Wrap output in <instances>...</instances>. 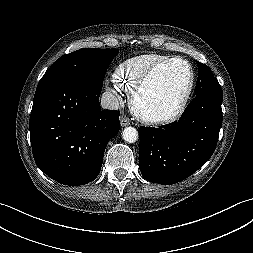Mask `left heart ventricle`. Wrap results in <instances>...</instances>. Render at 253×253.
<instances>
[{"label":"left heart ventricle","instance_id":"obj_1","mask_svg":"<svg viewBox=\"0 0 253 253\" xmlns=\"http://www.w3.org/2000/svg\"><path fill=\"white\" fill-rule=\"evenodd\" d=\"M190 72L182 62L169 63L152 76L139 104L148 113L165 115L179 104L189 84Z\"/></svg>","mask_w":253,"mask_h":253}]
</instances>
